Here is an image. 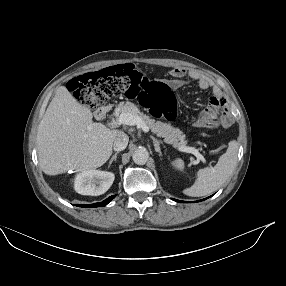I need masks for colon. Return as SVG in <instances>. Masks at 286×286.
<instances>
[{
    "mask_svg": "<svg viewBox=\"0 0 286 286\" xmlns=\"http://www.w3.org/2000/svg\"><path fill=\"white\" fill-rule=\"evenodd\" d=\"M70 89L80 103L95 108L110 98L124 95L138 98L156 117L174 121L177 117L176 100L171 87L162 81L147 78L134 66L125 64L80 75L70 82ZM228 122L222 114L210 112L198 115L194 124L198 128L222 127Z\"/></svg>",
    "mask_w": 286,
    "mask_h": 286,
    "instance_id": "colon-1",
    "label": "colon"
}]
</instances>
